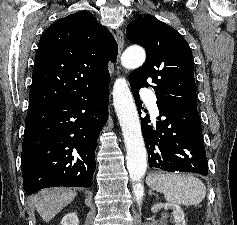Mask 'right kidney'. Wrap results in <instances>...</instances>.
I'll use <instances>...</instances> for the list:
<instances>
[{
  "label": "right kidney",
  "instance_id": "right-kidney-1",
  "mask_svg": "<svg viewBox=\"0 0 237 225\" xmlns=\"http://www.w3.org/2000/svg\"><path fill=\"white\" fill-rule=\"evenodd\" d=\"M60 225H79V219L75 212H70L66 214Z\"/></svg>",
  "mask_w": 237,
  "mask_h": 225
}]
</instances>
